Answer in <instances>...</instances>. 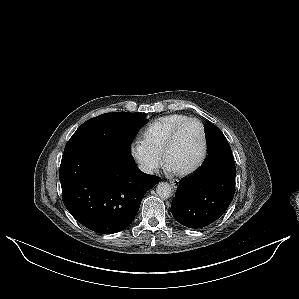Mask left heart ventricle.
<instances>
[{"instance_id": "b2bd125f", "label": "left heart ventricle", "mask_w": 299, "mask_h": 299, "mask_svg": "<svg viewBox=\"0 0 299 299\" xmlns=\"http://www.w3.org/2000/svg\"><path fill=\"white\" fill-rule=\"evenodd\" d=\"M201 135L196 124L183 128L168 155V164L175 170H183L191 166L198 158Z\"/></svg>"}]
</instances>
